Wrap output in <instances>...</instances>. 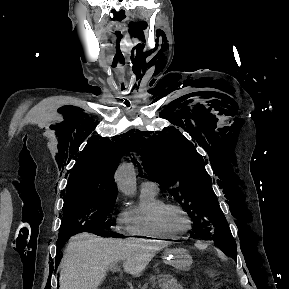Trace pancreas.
Returning a JSON list of instances; mask_svg holds the SVG:
<instances>
[{"label": "pancreas", "instance_id": "obj_1", "mask_svg": "<svg viewBox=\"0 0 289 289\" xmlns=\"http://www.w3.org/2000/svg\"><path fill=\"white\" fill-rule=\"evenodd\" d=\"M153 284L158 283L161 289H183V286L177 282L175 278L172 276L164 275L157 278V282H155L154 278L151 280ZM145 286L143 289H146Z\"/></svg>", "mask_w": 289, "mask_h": 289}]
</instances>
